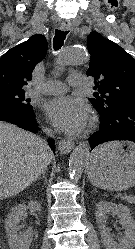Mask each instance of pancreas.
<instances>
[{
	"label": "pancreas",
	"mask_w": 135,
	"mask_h": 249,
	"mask_svg": "<svg viewBox=\"0 0 135 249\" xmlns=\"http://www.w3.org/2000/svg\"><path fill=\"white\" fill-rule=\"evenodd\" d=\"M125 200L128 202V203H135V197H131V196H128V197H125Z\"/></svg>",
	"instance_id": "cf45deb5"
}]
</instances>
